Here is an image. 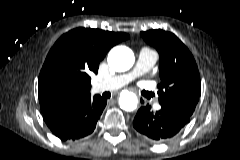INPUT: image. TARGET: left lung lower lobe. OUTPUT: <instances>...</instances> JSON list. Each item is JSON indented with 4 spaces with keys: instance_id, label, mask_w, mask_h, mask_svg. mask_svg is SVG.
<instances>
[{
    "instance_id": "0a47b994",
    "label": "left lung lower lobe",
    "mask_w": 240,
    "mask_h": 160,
    "mask_svg": "<svg viewBox=\"0 0 240 160\" xmlns=\"http://www.w3.org/2000/svg\"><path fill=\"white\" fill-rule=\"evenodd\" d=\"M190 117L161 105L157 112L149 105L141 107L133 121V126L142 138L152 143L165 142L174 137L188 122Z\"/></svg>"
}]
</instances>
